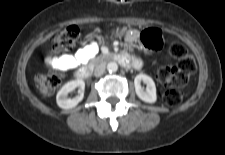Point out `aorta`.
<instances>
[{
	"label": "aorta",
	"mask_w": 225,
	"mask_h": 155,
	"mask_svg": "<svg viewBox=\"0 0 225 155\" xmlns=\"http://www.w3.org/2000/svg\"><path fill=\"white\" fill-rule=\"evenodd\" d=\"M107 70L109 72H116L118 70V64L116 62H109L107 64Z\"/></svg>",
	"instance_id": "obj_1"
}]
</instances>
